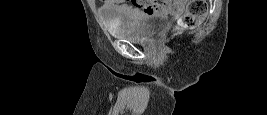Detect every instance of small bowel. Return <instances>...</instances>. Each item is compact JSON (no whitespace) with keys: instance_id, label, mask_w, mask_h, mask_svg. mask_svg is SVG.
I'll return each instance as SVG.
<instances>
[{"instance_id":"obj_1","label":"small bowel","mask_w":267,"mask_h":115,"mask_svg":"<svg viewBox=\"0 0 267 115\" xmlns=\"http://www.w3.org/2000/svg\"><path fill=\"white\" fill-rule=\"evenodd\" d=\"M135 4L138 6V8L126 3H120L119 1L107 0L105 1L103 8L112 9L116 7L130 19H136L141 14L150 13L171 14L174 16H178L185 8L184 3L181 1H164L161 3L137 1Z\"/></svg>"}]
</instances>
